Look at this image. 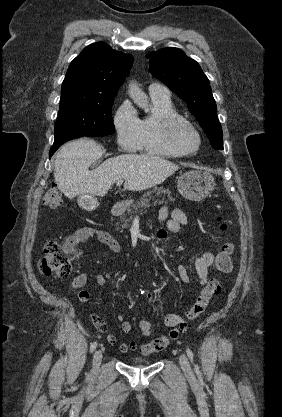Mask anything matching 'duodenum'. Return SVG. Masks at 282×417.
Masks as SVG:
<instances>
[{"mask_svg": "<svg viewBox=\"0 0 282 417\" xmlns=\"http://www.w3.org/2000/svg\"><path fill=\"white\" fill-rule=\"evenodd\" d=\"M123 209H124L123 204L118 202L113 205L110 213L113 217H116V216H119L123 212Z\"/></svg>", "mask_w": 282, "mask_h": 417, "instance_id": "duodenum-1", "label": "duodenum"}]
</instances>
